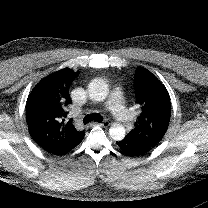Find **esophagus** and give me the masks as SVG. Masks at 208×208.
I'll return each instance as SVG.
<instances>
[{"mask_svg": "<svg viewBox=\"0 0 208 208\" xmlns=\"http://www.w3.org/2000/svg\"><path fill=\"white\" fill-rule=\"evenodd\" d=\"M91 125H99L102 127H108L110 125V123L106 120L102 121V122H93Z\"/></svg>", "mask_w": 208, "mask_h": 208, "instance_id": "1", "label": "esophagus"}]
</instances>
